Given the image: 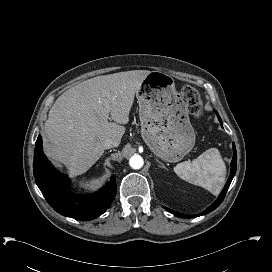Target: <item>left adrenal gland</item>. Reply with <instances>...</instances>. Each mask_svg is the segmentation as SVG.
I'll list each match as a JSON object with an SVG mask.
<instances>
[{
    "instance_id": "left-adrenal-gland-1",
    "label": "left adrenal gland",
    "mask_w": 272,
    "mask_h": 272,
    "mask_svg": "<svg viewBox=\"0 0 272 272\" xmlns=\"http://www.w3.org/2000/svg\"><path fill=\"white\" fill-rule=\"evenodd\" d=\"M156 161L158 162V166L160 167V168H163V169H167L158 159H156Z\"/></svg>"
}]
</instances>
